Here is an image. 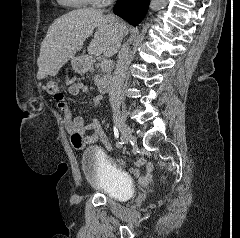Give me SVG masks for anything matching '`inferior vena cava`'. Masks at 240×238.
<instances>
[{"label":"inferior vena cava","mask_w":240,"mask_h":238,"mask_svg":"<svg viewBox=\"0 0 240 238\" xmlns=\"http://www.w3.org/2000/svg\"><path fill=\"white\" fill-rule=\"evenodd\" d=\"M110 18L119 23L118 19L110 15ZM130 64V50L127 43L123 44L116 64V68L113 74V79L109 91V100L114 112H119L121 104V91L126 77V72Z\"/></svg>","instance_id":"1"}]
</instances>
